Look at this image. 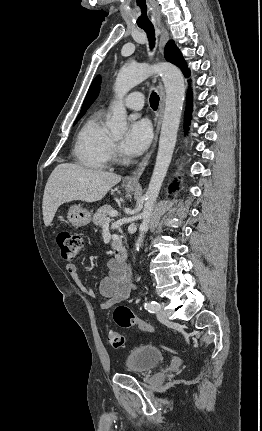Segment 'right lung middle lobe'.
<instances>
[{
    "mask_svg": "<svg viewBox=\"0 0 262 431\" xmlns=\"http://www.w3.org/2000/svg\"><path fill=\"white\" fill-rule=\"evenodd\" d=\"M83 115H79L76 119V121L74 122V124H76V122L82 117Z\"/></svg>",
    "mask_w": 262,
    "mask_h": 431,
    "instance_id": "right-lung-middle-lobe-1",
    "label": "right lung middle lobe"
}]
</instances>
